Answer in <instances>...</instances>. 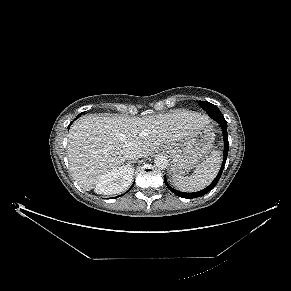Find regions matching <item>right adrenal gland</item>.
Returning a JSON list of instances; mask_svg holds the SVG:
<instances>
[{
  "label": "right adrenal gland",
  "mask_w": 291,
  "mask_h": 291,
  "mask_svg": "<svg viewBox=\"0 0 291 291\" xmlns=\"http://www.w3.org/2000/svg\"><path fill=\"white\" fill-rule=\"evenodd\" d=\"M132 163H134V161H129V162L127 163V165L132 164Z\"/></svg>",
  "instance_id": "2a0ac1e0"
}]
</instances>
